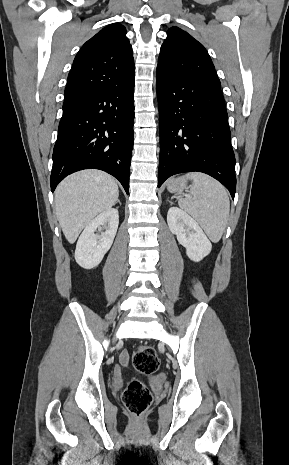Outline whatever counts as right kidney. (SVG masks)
<instances>
[{
  "instance_id": "obj_1",
  "label": "right kidney",
  "mask_w": 289,
  "mask_h": 465,
  "mask_svg": "<svg viewBox=\"0 0 289 465\" xmlns=\"http://www.w3.org/2000/svg\"><path fill=\"white\" fill-rule=\"evenodd\" d=\"M118 224V210L110 208L100 213L86 225L78 239L75 250V260L81 267L92 269L100 264L113 243ZM102 229L105 232L96 233Z\"/></svg>"
}]
</instances>
